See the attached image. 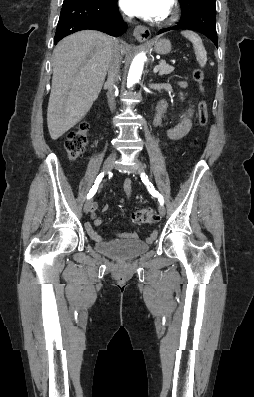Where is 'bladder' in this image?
Instances as JSON below:
<instances>
[{
	"label": "bladder",
	"instance_id": "1",
	"mask_svg": "<svg viewBox=\"0 0 254 397\" xmlns=\"http://www.w3.org/2000/svg\"><path fill=\"white\" fill-rule=\"evenodd\" d=\"M96 250L118 260H127L145 253L149 245L140 239H128L113 242H98Z\"/></svg>",
	"mask_w": 254,
	"mask_h": 397
}]
</instances>
